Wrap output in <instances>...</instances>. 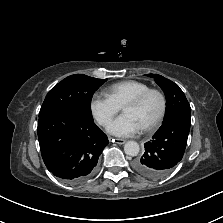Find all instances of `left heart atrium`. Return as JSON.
Listing matches in <instances>:
<instances>
[{
	"label": "left heart atrium",
	"instance_id": "1",
	"mask_svg": "<svg viewBox=\"0 0 223 223\" xmlns=\"http://www.w3.org/2000/svg\"><path fill=\"white\" fill-rule=\"evenodd\" d=\"M108 132L118 137H129L140 130L136 121L128 115L115 119L107 128Z\"/></svg>",
	"mask_w": 223,
	"mask_h": 223
}]
</instances>
